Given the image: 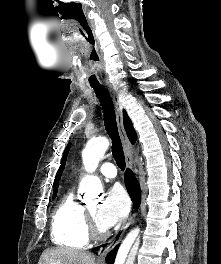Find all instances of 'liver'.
<instances>
[{"mask_svg":"<svg viewBox=\"0 0 221 264\" xmlns=\"http://www.w3.org/2000/svg\"><path fill=\"white\" fill-rule=\"evenodd\" d=\"M38 264H95V256L88 251L56 247L43 251Z\"/></svg>","mask_w":221,"mask_h":264,"instance_id":"6515ba94","label":"liver"}]
</instances>
